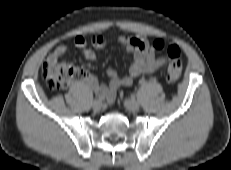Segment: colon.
Listing matches in <instances>:
<instances>
[{"instance_id": "colon-1", "label": "colon", "mask_w": 231, "mask_h": 170, "mask_svg": "<svg viewBox=\"0 0 231 170\" xmlns=\"http://www.w3.org/2000/svg\"><path fill=\"white\" fill-rule=\"evenodd\" d=\"M165 44L162 40L156 39L151 43L154 50H162ZM169 64L167 67V81L175 83L179 80L182 72L180 60V49L176 45H170L167 49ZM87 72L80 67L67 63L45 62L41 69V75L51 90H61L69 86L74 80H83Z\"/></svg>"}]
</instances>
